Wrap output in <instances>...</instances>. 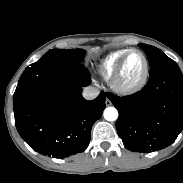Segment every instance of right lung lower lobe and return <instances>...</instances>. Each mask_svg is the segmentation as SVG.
Wrapping results in <instances>:
<instances>
[{"label": "right lung lower lobe", "instance_id": "obj_1", "mask_svg": "<svg viewBox=\"0 0 183 183\" xmlns=\"http://www.w3.org/2000/svg\"><path fill=\"white\" fill-rule=\"evenodd\" d=\"M90 82L81 63L23 72L13 95L15 125L34 151L66 158L86 150L106 98L101 92L85 100L82 87Z\"/></svg>", "mask_w": 183, "mask_h": 183}]
</instances>
